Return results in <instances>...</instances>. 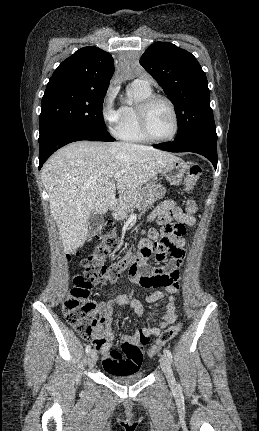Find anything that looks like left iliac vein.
<instances>
[{"instance_id":"4c4485c4","label":"left iliac vein","mask_w":259,"mask_h":431,"mask_svg":"<svg viewBox=\"0 0 259 431\" xmlns=\"http://www.w3.org/2000/svg\"><path fill=\"white\" fill-rule=\"evenodd\" d=\"M160 366H161L169 384L173 385L175 382L173 371H172L169 359L165 354L161 355Z\"/></svg>"}]
</instances>
